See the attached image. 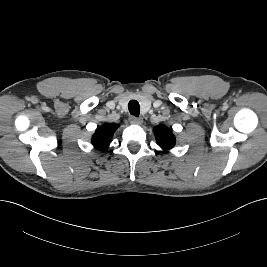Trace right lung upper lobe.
Listing matches in <instances>:
<instances>
[{"label":"right lung upper lobe","mask_w":267,"mask_h":267,"mask_svg":"<svg viewBox=\"0 0 267 267\" xmlns=\"http://www.w3.org/2000/svg\"><path fill=\"white\" fill-rule=\"evenodd\" d=\"M119 127L118 124L109 123L97 128L92 136V144L99 150H105L109 147L115 130Z\"/></svg>","instance_id":"1"}]
</instances>
